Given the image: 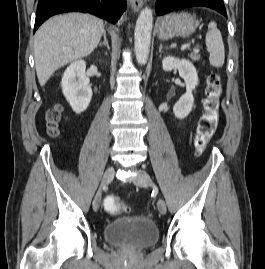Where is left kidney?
<instances>
[{"label":"left kidney","mask_w":265,"mask_h":269,"mask_svg":"<svg viewBox=\"0 0 265 269\" xmlns=\"http://www.w3.org/2000/svg\"><path fill=\"white\" fill-rule=\"evenodd\" d=\"M164 71L177 69L179 75L186 84V93L180 97L173 107V113L176 118L183 119L189 115L194 104L192 91L198 85V74L194 65L186 59H178L167 56L162 60Z\"/></svg>","instance_id":"1"}]
</instances>
